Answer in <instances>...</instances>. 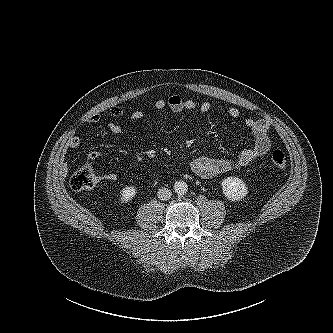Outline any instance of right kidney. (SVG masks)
<instances>
[{"instance_id":"1","label":"right kidney","mask_w":333,"mask_h":333,"mask_svg":"<svg viewBox=\"0 0 333 333\" xmlns=\"http://www.w3.org/2000/svg\"><path fill=\"white\" fill-rule=\"evenodd\" d=\"M137 194V190L134 186H127L120 192V201L122 203L130 202Z\"/></svg>"}]
</instances>
